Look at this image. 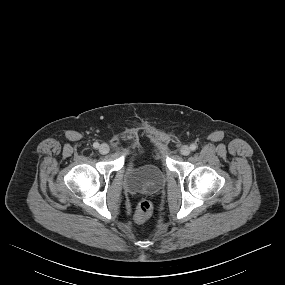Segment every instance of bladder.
Wrapping results in <instances>:
<instances>
[{
    "instance_id": "obj_1",
    "label": "bladder",
    "mask_w": 285,
    "mask_h": 285,
    "mask_svg": "<svg viewBox=\"0 0 285 285\" xmlns=\"http://www.w3.org/2000/svg\"><path fill=\"white\" fill-rule=\"evenodd\" d=\"M123 181L131 191H156L165 183L164 172L156 165H136L129 162L124 168Z\"/></svg>"
}]
</instances>
